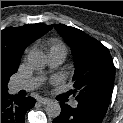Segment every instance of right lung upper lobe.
Returning <instances> with one entry per match:
<instances>
[{
	"label": "right lung upper lobe",
	"instance_id": "obj_1",
	"mask_svg": "<svg viewBox=\"0 0 123 123\" xmlns=\"http://www.w3.org/2000/svg\"><path fill=\"white\" fill-rule=\"evenodd\" d=\"M51 28L38 23L1 30V79H10L17 72L25 48ZM4 94L1 92V95Z\"/></svg>",
	"mask_w": 123,
	"mask_h": 123
}]
</instances>
